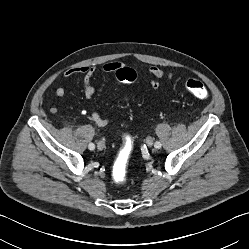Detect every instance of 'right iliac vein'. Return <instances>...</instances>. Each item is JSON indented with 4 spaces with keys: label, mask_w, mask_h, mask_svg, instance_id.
Segmentation results:
<instances>
[{
    "label": "right iliac vein",
    "mask_w": 249,
    "mask_h": 249,
    "mask_svg": "<svg viewBox=\"0 0 249 249\" xmlns=\"http://www.w3.org/2000/svg\"><path fill=\"white\" fill-rule=\"evenodd\" d=\"M97 148L99 150H103L105 148V143L103 141H99L97 144Z\"/></svg>",
    "instance_id": "63e3f726"
}]
</instances>
